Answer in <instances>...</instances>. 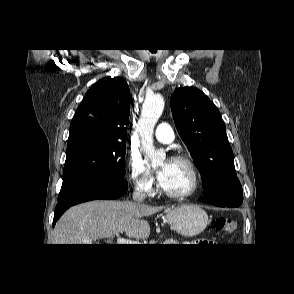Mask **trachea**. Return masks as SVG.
Listing matches in <instances>:
<instances>
[{"label": "trachea", "mask_w": 294, "mask_h": 294, "mask_svg": "<svg viewBox=\"0 0 294 294\" xmlns=\"http://www.w3.org/2000/svg\"><path fill=\"white\" fill-rule=\"evenodd\" d=\"M152 53H155L156 51L155 50H150Z\"/></svg>", "instance_id": "1"}]
</instances>
